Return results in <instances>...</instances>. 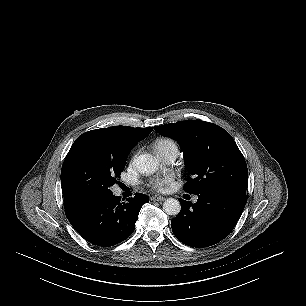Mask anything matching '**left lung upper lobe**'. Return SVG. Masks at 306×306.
<instances>
[{
	"mask_svg": "<svg viewBox=\"0 0 306 306\" xmlns=\"http://www.w3.org/2000/svg\"><path fill=\"white\" fill-rule=\"evenodd\" d=\"M161 135L175 139L184 151V163L194 177L187 193L229 191L246 195L248 170L232 136L223 128L201 120L155 126Z\"/></svg>",
	"mask_w": 306,
	"mask_h": 306,
	"instance_id": "left-lung-upper-lobe-1",
	"label": "left lung upper lobe"
}]
</instances>
